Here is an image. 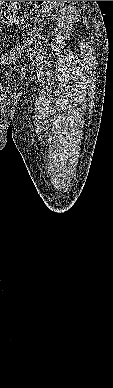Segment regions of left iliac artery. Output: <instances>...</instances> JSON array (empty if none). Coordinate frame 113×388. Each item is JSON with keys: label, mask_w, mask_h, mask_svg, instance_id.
Instances as JSON below:
<instances>
[{"label": "left iliac artery", "mask_w": 113, "mask_h": 388, "mask_svg": "<svg viewBox=\"0 0 113 388\" xmlns=\"http://www.w3.org/2000/svg\"><path fill=\"white\" fill-rule=\"evenodd\" d=\"M36 37L38 38V41L36 42V40H35V48L37 49V51L41 52V48H42V43L40 41L41 36H40V34H36ZM38 54H39V52H38Z\"/></svg>", "instance_id": "1"}]
</instances>
